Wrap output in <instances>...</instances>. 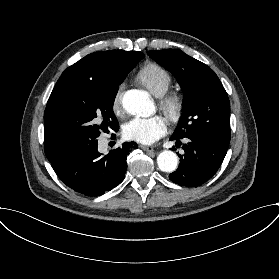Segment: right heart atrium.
Wrapping results in <instances>:
<instances>
[{
	"label": "right heart atrium",
	"mask_w": 279,
	"mask_h": 279,
	"mask_svg": "<svg viewBox=\"0 0 279 279\" xmlns=\"http://www.w3.org/2000/svg\"><path fill=\"white\" fill-rule=\"evenodd\" d=\"M124 90V84L117 87L111 102V108L115 114L119 113L121 106V97Z\"/></svg>",
	"instance_id": "right-heart-atrium-1"
}]
</instances>
